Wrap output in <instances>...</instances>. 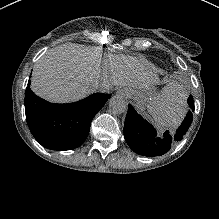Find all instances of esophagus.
I'll list each match as a JSON object with an SVG mask.
<instances>
[{"label":"esophagus","mask_w":219,"mask_h":219,"mask_svg":"<svg viewBox=\"0 0 219 219\" xmlns=\"http://www.w3.org/2000/svg\"><path fill=\"white\" fill-rule=\"evenodd\" d=\"M117 95H118V96H120V95H121V96H123V97L125 96V94L123 93V91H120V92H118V94H117Z\"/></svg>","instance_id":"obj_1"}]
</instances>
